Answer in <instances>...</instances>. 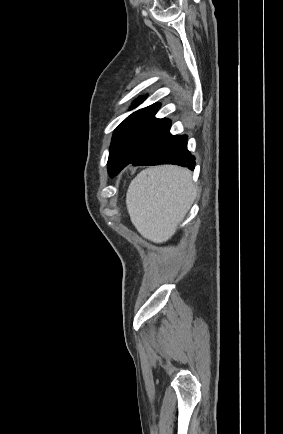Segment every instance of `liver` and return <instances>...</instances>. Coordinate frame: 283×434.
Segmentation results:
<instances>
[{"instance_id":"obj_1","label":"liver","mask_w":283,"mask_h":434,"mask_svg":"<svg viewBox=\"0 0 283 434\" xmlns=\"http://www.w3.org/2000/svg\"><path fill=\"white\" fill-rule=\"evenodd\" d=\"M197 195L188 169L163 165L142 170L130 183L126 205L132 224L154 243L168 241Z\"/></svg>"}]
</instances>
